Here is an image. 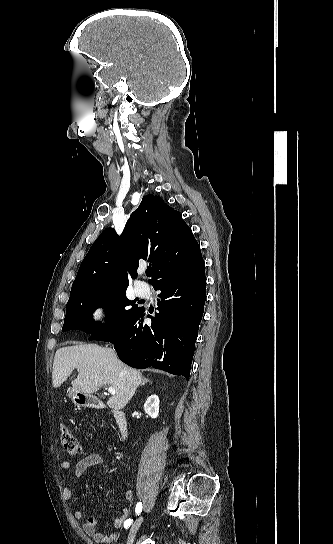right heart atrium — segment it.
Here are the masks:
<instances>
[{
	"mask_svg": "<svg viewBox=\"0 0 333 544\" xmlns=\"http://www.w3.org/2000/svg\"><path fill=\"white\" fill-rule=\"evenodd\" d=\"M104 315H105V312L102 309L98 310V312L96 314L98 319H102L104 317Z\"/></svg>",
	"mask_w": 333,
	"mask_h": 544,
	"instance_id": "right-heart-atrium-1",
	"label": "right heart atrium"
}]
</instances>
